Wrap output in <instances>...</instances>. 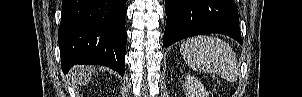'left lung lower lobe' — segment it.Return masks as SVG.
<instances>
[{"instance_id":"1","label":"left lung lower lobe","mask_w":302,"mask_h":97,"mask_svg":"<svg viewBox=\"0 0 302 97\" xmlns=\"http://www.w3.org/2000/svg\"><path fill=\"white\" fill-rule=\"evenodd\" d=\"M165 5V47L205 33L225 34L243 43L234 0H165Z\"/></svg>"}]
</instances>
